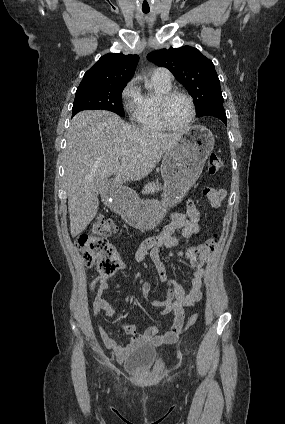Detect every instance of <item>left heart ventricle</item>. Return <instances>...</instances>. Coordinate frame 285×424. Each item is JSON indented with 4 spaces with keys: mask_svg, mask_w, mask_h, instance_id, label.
<instances>
[{
    "mask_svg": "<svg viewBox=\"0 0 285 424\" xmlns=\"http://www.w3.org/2000/svg\"><path fill=\"white\" fill-rule=\"evenodd\" d=\"M190 113L191 109L189 102L183 96H175L167 104L166 114L172 125H184L188 120Z\"/></svg>",
    "mask_w": 285,
    "mask_h": 424,
    "instance_id": "left-heart-ventricle-1",
    "label": "left heart ventricle"
}]
</instances>
